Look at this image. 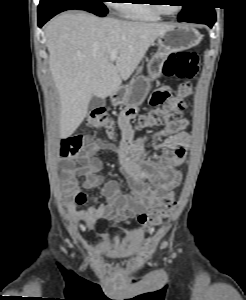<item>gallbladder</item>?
I'll return each mask as SVG.
<instances>
[{
	"mask_svg": "<svg viewBox=\"0 0 246 300\" xmlns=\"http://www.w3.org/2000/svg\"><path fill=\"white\" fill-rule=\"evenodd\" d=\"M106 104V101L103 98H100L98 96H93L90 99L89 105H88V109L89 111H93L97 108H101L104 107Z\"/></svg>",
	"mask_w": 246,
	"mask_h": 300,
	"instance_id": "1",
	"label": "gallbladder"
}]
</instances>
